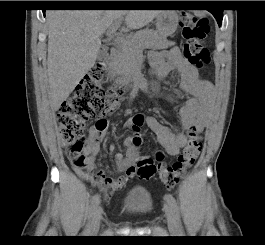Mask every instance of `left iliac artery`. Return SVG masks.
I'll return each mask as SVG.
<instances>
[{
    "mask_svg": "<svg viewBox=\"0 0 265 245\" xmlns=\"http://www.w3.org/2000/svg\"><path fill=\"white\" fill-rule=\"evenodd\" d=\"M164 198L169 203V205L173 209V211L175 212L176 219L179 220L178 206H177L175 198L169 193L165 194ZM178 227H179L180 232L184 231L181 223L178 225Z\"/></svg>",
    "mask_w": 265,
    "mask_h": 245,
    "instance_id": "obj_1",
    "label": "left iliac artery"
}]
</instances>
